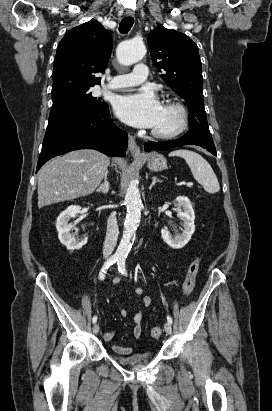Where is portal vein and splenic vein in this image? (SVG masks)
<instances>
[{"label":"portal vein and splenic vein","mask_w":272,"mask_h":411,"mask_svg":"<svg viewBox=\"0 0 272 411\" xmlns=\"http://www.w3.org/2000/svg\"><path fill=\"white\" fill-rule=\"evenodd\" d=\"M184 185H187V186H192V185H193V183H192V182H187V183H184Z\"/></svg>","instance_id":"18ae733b"}]
</instances>
